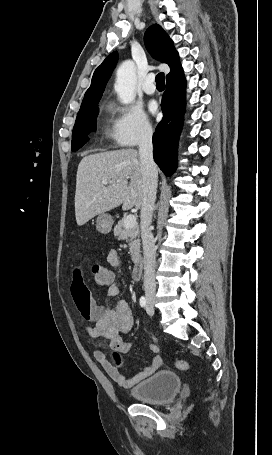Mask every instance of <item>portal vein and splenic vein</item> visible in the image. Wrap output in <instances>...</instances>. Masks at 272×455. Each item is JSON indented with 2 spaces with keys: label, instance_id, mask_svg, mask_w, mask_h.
Here are the masks:
<instances>
[{
  "label": "portal vein and splenic vein",
  "instance_id": "18ae733b",
  "mask_svg": "<svg viewBox=\"0 0 272 455\" xmlns=\"http://www.w3.org/2000/svg\"><path fill=\"white\" fill-rule=\"evenodd\" d=\"M102 183L104 185H107L108 184V181L107 180H103ZM137 224L136 222V216L134 215H128L124 218V225L126 228H132L134 227L135 225Z\"/></svg>",
  "mask_w": 272,
  "mask_h": 455
}]
</instances>
